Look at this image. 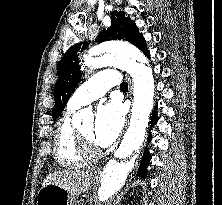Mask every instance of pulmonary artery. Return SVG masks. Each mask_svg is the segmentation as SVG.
Wrapping results in <instances>:
<instances>
[{
    "label": "pulmonary artery",
    "mask_w": 222,
    "mask_h": 205,
    "mask_svg": "<svg viewBox=\"0 0 222 205\" xmlns=\"http://www.w3.org/2000/svg\"><path fill=\"white\" fill-rule=\"evenodd\" d=\"M120 84V77L114 69H103L82 84L68 102L70 109H78L103 96L109 88Z\"/></svg>",
    "instance_id": "obj_1"
}]
</instances>
